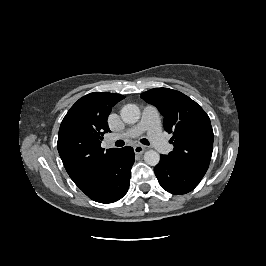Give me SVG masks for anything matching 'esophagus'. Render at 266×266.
Instances as JSON below:
<instances>
[{
  "label": "esophagus",
  "instance_id": "esophagus-1",
  "mask_svg": "<svg viewBox=\"0 0 266 266\" xmlns=\"http://www.w3.org/2000/svg\"><path fill=\"white\" fill-rule=\"evenodd\" d=\"M145 151V147L142 145H136L134 146V152L136 154H142Z\"/></svg>",
  "mask_w": 266,
  "mask_h": 266
}]
</instances>
